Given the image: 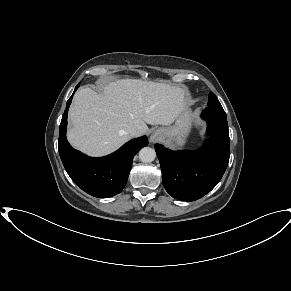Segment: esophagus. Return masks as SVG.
Returning a JSON list of instances; mask_svg holds the SVG:
<instances>
[{"label": "esophagus", "mask_w": 291, "mask_h": 291, "mask_svg": "<svg viewBox=\"0 0 291 291\" xmlns=\"http://www.w3.org/2000/svg\"><path fill=\"white\" fill-rule=\"evenodd\" d=\"M161 137L159 136V135H152L151 137H150V140L152 141V142H156V141H158L159 139H160Z\"/></svg>", "instance_id": "obj_1"}]
</instances>
